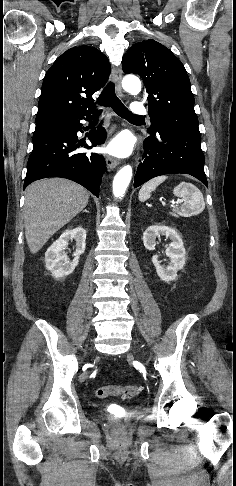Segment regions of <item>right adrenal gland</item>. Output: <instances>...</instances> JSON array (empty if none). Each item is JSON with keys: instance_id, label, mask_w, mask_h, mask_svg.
Masks as SVG:
<instances>
[{"instance_id": "right-adrenal-gland-1", "label": "right adrenal gland", "mask_w": 236, "mask_h": 486, "mask_svg": "<svg viewBox=\"0 0 236 486\" xmlns=\"http://www.w3.org/2000/svg\"><path fill=\"white\" fill-rule=\"evenodd\" d=\"M83 212H86V213H88L89 211H87V209H85V210H84Z\"/></svg>"}]
</instances>
